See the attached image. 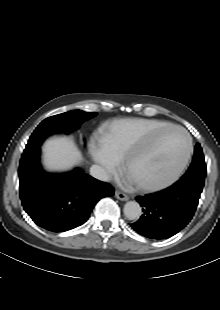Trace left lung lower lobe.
Instances as JSON below:
<instances>
[{
	"instance_id": "obj_1",
	"label": "left lung lower lobe",
	"mask_w": 220,
	"mask_h": 310,
	"mask_svg": "<svg viewBox=\"0 0 220 310\" xmlns=\"http://www.w3.org/2000/svg\"><path fill=\"white\" fill-rule=\"evenodd\" d=\"M203 186L176 182L171 187L137 197L143 214L131 224L139 234L151 239L169 238L182 230L192 219Z\"/></svg>"
}]
</instances>
